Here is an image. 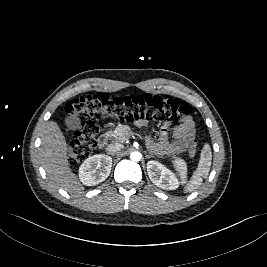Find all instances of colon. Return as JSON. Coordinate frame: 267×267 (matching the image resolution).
I'll return each mask as SVG.
<instances>
[{
  "label": "colon",
  "mask_w": 267,
  "mask_h": 267,
  "mask_svg": "<svg viewBox=\"0 0 267 267\" xmlns=\"http://www.w3.org/2000/svg\"><path fill=\"white\" fill-rule=\"evenodd\" d=\"M70 116L84 120L73 134L68 148L70 163H77L91 154L96 145L99 127L93 118L122 121L180 120L190 116L191 106L178 98L164 95L139 94L110 97L105 93L87 94L74 98L65 107ZM197 140L191 139L187 150L191 157L197 154Z\"/></svg>",
  "instance_id": "obj_1"
}]
</instances>
